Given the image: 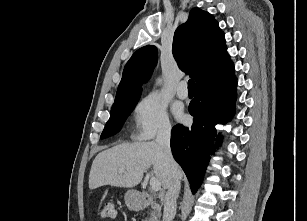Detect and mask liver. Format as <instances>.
<instances>
[{
    "mask_svg": "<svg viewBox=\"0 0 307 221\" xmlns=\"http://www.w3.org/2000/svg\"><path fill=\"white\" fill-rule=\"evenodd\" d=\"M151 166L155 178L164 189H167L170 185L171 171L156 141L113 146L100 152L93 160L89 188L93 190L104 185L132 188L141 182L144 172ZM175 174L179 179L182 178V170L177 163Z\"/></svg>",
    "mask_w": 307,
    "mask_h": 221,
    "instance_id": "liver-1",
    "label": "liver"
}]
</instances>
